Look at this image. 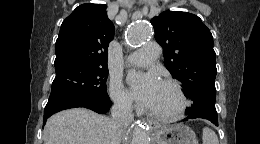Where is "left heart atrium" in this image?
Returning <instances> with one entry per match:
<instances>
[{"label": "left heart atrium", "instance_id": "39dd6f15", "mask_svg": "<svg viewBox=\"0 0 260 144\" xmlns=\"http://www.w3.org/2000/svg\"><path fill=\"white\" fill-rule=\"evenodd\" d=\"M128 81L137 101L150 107L158 91L160 85L159 80L153 75L134 73L129 76Z\"/></svg>", "mask_w": 260, "mask_h": 144}]
</instances>
